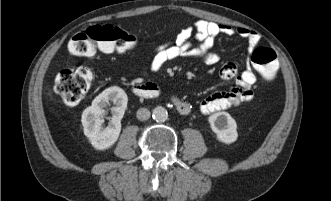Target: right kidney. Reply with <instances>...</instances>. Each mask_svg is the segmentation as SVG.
Wrapping results in <instances>:
<instances>
[{
  "label": "right kidney",
  "mask_w": 331,
  "mask_h": 201,
  "mask_svg": "<svg viewBox=\"0 0 331 201\" xmlns=\"http://www.w3.org/2000/svg\"><path fill=\"white\" fill-rule=\"evenodd\" d=\"M112 102V117L108 126L104 127L105 107ZM128 98L123 89L113 86L105 89L87 107L83 113L81 122L85 136L97 150H106L112 147L118 140L121 131V119L127 108Z\"/></svg>",
  "instance_id": "right-kidney-1"
}]
</instances>
